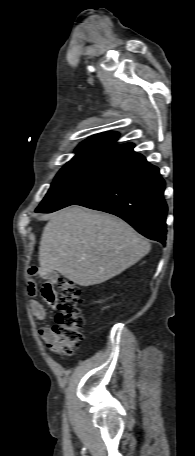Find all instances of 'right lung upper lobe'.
Returning <instances> with one entry per match:
<instances>
[{
  "label": "right lung upper lobe",
  "instance_id": "1",
  "mask_svg": "<svg viewBox=\"0 0 195 456\" xmlns=\"http://www.w3.org/2000/svg\"><path fill=\"white\" fill-rule=\"evenodd\" d=\"M118 136L117 132H105L89 137L76 148V155L68 163L87 162L125 170L145 159L133 150V143L116 144Z\"/></svg>",
  "mask_w": 195,
  "mask_h": 456
}]
</instances>
